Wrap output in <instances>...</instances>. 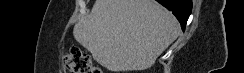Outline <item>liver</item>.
<instances>
[{
	"label": "liver",
	"mask_w": 244,
	"mask_h": 73,
	"mask_svg": "<svg viewBox=\"0 0 244 73\" xmlns=\"http://www.w3.org/2000/svg\"><path fill=\"white\" fill-rule=\"evenodd\" d=\"M74 38L110 71L150 68L177 39L180 25L155 0H96Z\"/></svg>",
	"instance_id": "liver-1"
}]
</instances>
